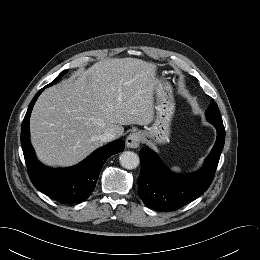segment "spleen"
I'll return each instance as SVG.
<instances>
[{
    "instance_id": "obj_1",
    "label": "spleen",
    "mask_w": 260,
    "mask_h": 260,
    "mask_svg": "<svg viewBox=\"0 0 260 260\" xmlns=\"http://www.w3.org/2000/svg\"><path fill=\"white\" fill-rule=\"evenodd\" d=\"M171 170L174 171V172H180L181 168L177 167V166H174V167H171Z\"/></svg>"
}]
</instances>
